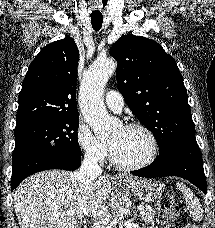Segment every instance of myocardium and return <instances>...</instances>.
<instances>
[{
    "mask_svg": "<svg viewBox=\"0 0 215 228\" xmlns=\"http://www.w3.org/2000/svg\"><path fill=\"white\" fill-rule=\"evenodd\" d=\"M123 128L127 129V130H130V129L142 130L148 138L149 151H148L147 155L141 161H139L137 163H133V164H123L115 159L112 148L109 145L110 161H111L112 165L115 168L122 170V171H135V170L146 167L155 159L157 152H158V142H157L155 134L147 125L140 123V122L128 123Z\"/></svg>",
    "mask_w": 215,
    "mask_h": 228,
    "instance_id": "obj_1",
    "label": "myocardium"
}]
</instances>
